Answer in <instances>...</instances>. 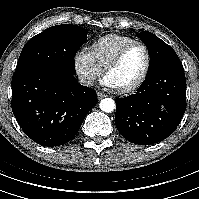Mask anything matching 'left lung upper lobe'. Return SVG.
Returning a JSON list of instances; mask_svg holds the SVG:
<instances>
[{"label": "left lung upper lobe", "instance_id": "5c2ea615", "mask_svg": "<svg viewBox=\"0 0 199 199\" xmlns=\"http://www.w3.org/2000/svg\"><path fill=\"white\" fill-rule=\"evenodd\" d=\"M138 37L146 44L150 54V67L148 74L164 63L177 59L175 51L164 41L148 31H142Z\"/></svg>", "mask_w": 199, "mask_h": 199}]
</instances>
